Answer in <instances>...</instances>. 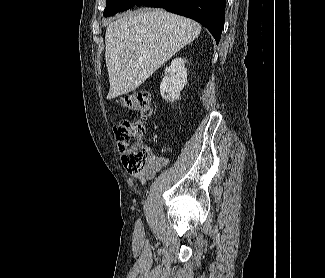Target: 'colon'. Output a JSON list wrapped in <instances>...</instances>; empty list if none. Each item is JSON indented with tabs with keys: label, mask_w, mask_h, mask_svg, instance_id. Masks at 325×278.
Returning a JSON list of instances; mask_svg holds the SVG:
<instances>
[{
	"label": "colon",
	"mask_w": 325,
	"mask_h": 278,
	"mask_svg": "<svg viewBox=\"0 0 325 278\" xmlns=\"http://www.w3.org/2000/svg\"><path fill=\"white\" fill-rule=\"evenodd\" d=\"M121 103L141 117H149L153 111L150 96L146 92H130L121 98ZM113 132L122 154L124 168L130 172L142 170L152 154L150 147L143 142L144 123L141 120H123L113 127Z\"/></svg>",
	"instance_id": "5ec220e1"
}]
</instances>
